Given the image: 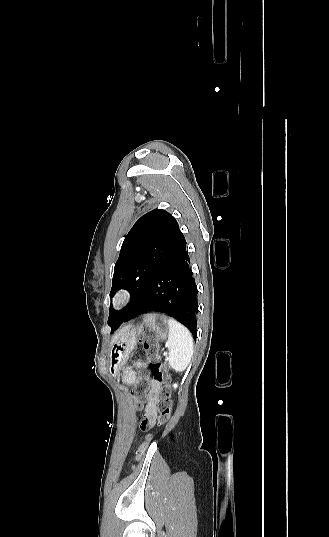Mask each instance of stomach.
Segmentation results:
<instances>
[{"instance_id":"obj_1","label":"stomach","mask_w":329,"mask_h":537,"mask_svg":"<svg viewBox=\"0 0 329 537\" xmlns=\"http://www.w3.org/2000/svg\"><path fill=\"white\" fill-rule=\"evenodd\" d=\"M168 321L165 315L152 313L145 315L141 324L126 327L110 347L112 373L116 375L125 365L140 336L152 333L157 340L166 339L169 334Z\"/></svg>"}]
</instances>
